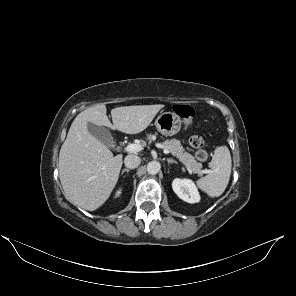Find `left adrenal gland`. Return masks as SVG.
I'll list each match as a JSON object with an SVG mask.
<instances>
[{"label": "left adrenal gland", "mask_w": 296, "mask_h": 296, "mask_svg": "<svg viewBox=\"0 0 296 296\" xmlns=\"http://www.w3.org/2000/svg\"><path fill=\"white\" fill-rule=\"evenodd\" d=\"M168 164H177V161L173 160V159H167Z\"/></svg>", "instance_id": "1"}]
</instances>
